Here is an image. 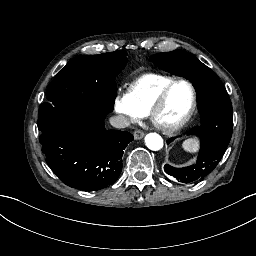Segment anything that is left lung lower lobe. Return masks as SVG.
<instances>
[{"label": "left lung lower lobe", "mask_w": 256, "mask_h": 256, "mask_svg": "<svg viewBox=\"0 0 256 256\" xmlns=\"http://www.w3.org/2000/svg\"><path fill=\"white\" fill-rule=\"evenodd\" d=\"M167 174L177 178L178 181L183 183H195L205 177V176L185 175V174H178V173H171V172H167Z\"/></svg>", "instance_id": "1"}]
</instances>
